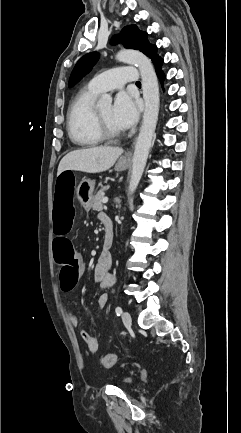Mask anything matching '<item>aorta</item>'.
<instances>
[{
  "mask_svg": "<svg viewBox=\"0 0 241 433\" xmlns=\"http://www.w3.org/2000/svg\"><path fill=\"white\" fill-rule=\"evenodd\" d=\"M117 60L123 63L134 64L138 67L142 79L143 98L145 109L142 125L137 137L133 154L132 173L129 182V193L132 194L144 172L152 139L156 129L159 113V86L153 65L144 54L135 50H121L117 53ZM112 97L104 94L98 100L99 105H110Z\"/></svg>",
  "mask_w": 241,
  "mask_h": 433,
  "instance_id": "762f6f07",
  "label": "aorta"
}]
</instances>
